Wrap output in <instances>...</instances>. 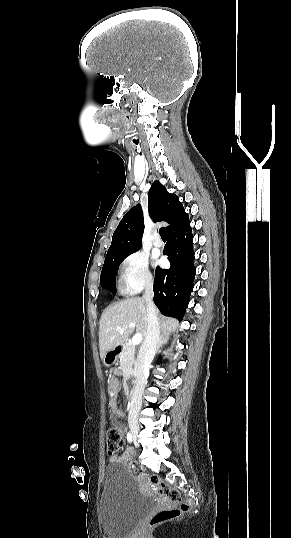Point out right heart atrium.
<instances>
[{
    "label": "right heart atrium",
    "instance_id": "1",
    "mask_svg": "<svg viewBox=\"0 0 291 538\" xmlns=\"http://www.w3.org/2000/svg\"><path fill=\"white\" fill-rule=\"evenodd\" d=\"M120 276L124 290L128 294H137L153 283L147 257L138 251L128 254L121 261Z\"/></svg>",
    "mask_w": 291,
    "mask_h": 538
}]
</instances>
